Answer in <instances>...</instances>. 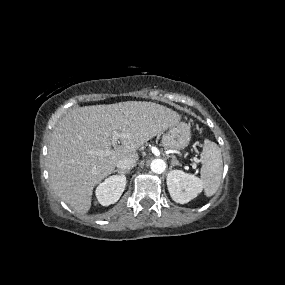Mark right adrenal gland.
Listing matches in <instances>:
<instances>
[{"mask_svg":"<svg viewBox=\"0 0 285 285\" xmlns=\"http://www.w3.org/2000/svg\"><path fill=\"white\" fill-rule=\"evenodd\" d=\"M114 172H117L119 174H128L130 171L126 170V171H122V170H115Z\"/></svg>","mask_w":285,"mask_h":285,"instance_id":"2a0ac1e0","label":"right adrenal gland"}]
</instances>
